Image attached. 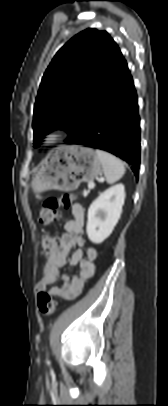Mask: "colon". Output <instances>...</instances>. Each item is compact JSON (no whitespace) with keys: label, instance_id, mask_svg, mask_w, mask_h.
I'll list each match as a JSON object with an SVG mask.
<instances>
[{"label":"colon","instance_id":"5ec220e1","mask_svg":"<svg viewBox=\"0 0 168 406\" xmlns=\"http://www.w3.org/2000/svg\"><path fill=\"white\" fill-rule=\"evenodd\" d=\"M74 197L64 194L58 197H50L44 201L39 210V221L42 224H51L60 217V210L70 205ZM57 248V240L50 235L41 237V255L49 258ZM37 306L40 313L52 315L56 309V302L51 294L41 291L37 296Z\"/></svg>","mask_w":168,"mask_h":406}]
</instances>
